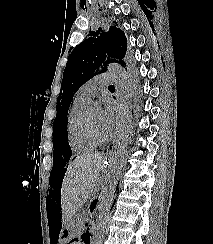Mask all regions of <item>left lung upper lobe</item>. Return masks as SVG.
<instances>
[{
	"instance_id": "5c2ea615",
	"label": "left lung upper lobe",
	"mask_w": 213,
	"mask_h": 244,
	"mask_svg": "<svg viewBox=\"0 0 213 244\" xmlns=\"http://www.w3.org/2000/svg\"><path fill=\"white\" fill-rule=\"evenodd\" d=\"M71 51V50H70ZM125 33L111 26L107 32L99 28L71 51L63 73L61 93L57 100V115L53 124L56 135L59 129L67 132V112L75 92L95 75L105 72L111 62L127 66ZM127 69V68H126Z\"/></svg>"
}]
</instances>
